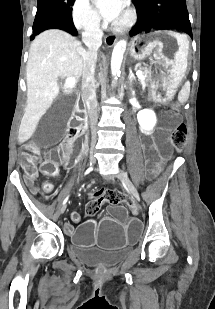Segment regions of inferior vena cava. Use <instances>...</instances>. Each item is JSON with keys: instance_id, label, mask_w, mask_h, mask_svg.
I'll use <instances>...</instances> for the list:
<instances>
[{"instance_id": "inferior-vena-cava-1", "label": "inferior vena cava", "mask_w": 215, "mask_h": 309, "mask_svg": "<svg viewBox=\"0 0 215 309\" xmlns=\"http://www.w3.org/2000/svg\"><path fill=\"white\" fill-rule=\"evenodd\" d=\"M103 30L100 28V18H94L85 22L82 32V40L88 50L83 52L82 70V98L87 106L89 122L91 126V142L95 144L97 140L96 124L98 120L95 66L97 60V50L102 44Z\"/></svg>"}]
</instances>
